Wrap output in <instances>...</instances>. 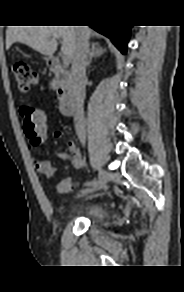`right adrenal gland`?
Segmentation results:
<instances>
[{"mask_svg":"<svg viewBox=\"0 0 184 292\" xmlns=\"http://www.w3.org/2000/svg\"><path fill=\"white\" fill-rule=\"evenodd\" d=\"M105 51L106 49H103L102 47H100V45L93 43L91 45V51L89 52V60L87 66H90L93 58L100 57Z\"/></svg>","mask_w":184,"mask_h":292,"instance_id":"2a0ac1e0","label":"right adrenal gland"}]
</instances>
